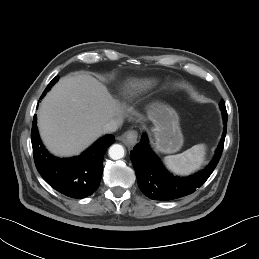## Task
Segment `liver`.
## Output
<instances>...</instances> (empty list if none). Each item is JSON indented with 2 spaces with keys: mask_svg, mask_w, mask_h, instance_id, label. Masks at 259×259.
<instances>
[{
  "mask_svg": "<svg viewBox=\"0 0 259 259\" xmlns=\"http://www.w3.org/2000/svg\"><path fill=\"white\" fill-rule=\"evenodd\" d=\"M122 118V105L105 85L88 74L74 73L61 78L42 100L38 127L51 153L69 157L104 134L106 123Z\"/></svg>",
  "mask_w": 259,
  "mask_h": 259,
  "instance_id": "obj_1",
  "label": "liver"
}]
</instances>
